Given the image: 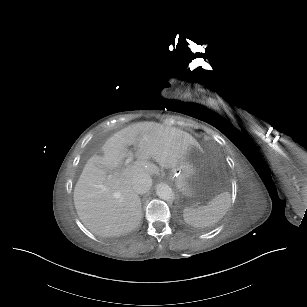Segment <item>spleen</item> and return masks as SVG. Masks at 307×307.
Masks as SVG:
<instances>
[{"mask_svg":"<svg viewBox=\"0 0 307 307\" xmlns=\"http://www.w3.org/2000/svg\"><path fill=\"white\" fill-rule=\"evenodd\" d=\"M230 203L229 192H222L205 206H200L198 209L186 208L183 211V218L190 226H210L223 218Z\"/></svg>","mask_w":307,"mask_h":307,"instance_id":"3e777b00","label":"spleen"}]
</instances>
